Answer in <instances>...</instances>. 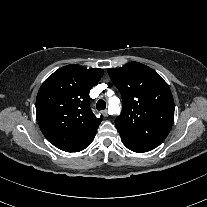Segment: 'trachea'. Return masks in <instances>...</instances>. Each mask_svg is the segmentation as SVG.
I'll return each instance as SVG.
<instances>
[{"mask_svg": "<svg viewBox=\"0 0 207 207\" xmlns=\"http://www.w3.org/2000/svg\"><path fill=\"white\" fill-rule=\"evenodd\" d=\"M97 110H104L106 108V103L104 100H99L96 104Z\"/></svg>", "mask_w": 207, "mask_h": 207, "instance_id": "trachea-1", "label": "trachea"}]
</instances>
